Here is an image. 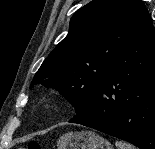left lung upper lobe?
<instances>
[{
	"label": "left lung upper lobe",
	"mask_w": 155,
	"mask_h": 149,
	"mask_svg": "<svg viewBox=\"0 0 155 149\" xmlns=\"http://www.w3.org/2000/svg\"><path fill=\"white\" fill-rule=\"evenodd\" d=\"M146 14L141 0H93L80 8L70 20L68 35L44 60L30 88L53 87L79 113Z\"/></svg>",
	"instance_id": "left-lung-upper-lobe-1"
}]
</instances>
